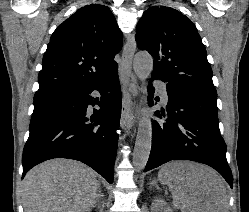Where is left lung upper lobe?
<instances>
[{"instance_id":"1","label":"left lung upper lobe","mask_w":249,"mask_h":212,"mask_svg":"<svg viewBox=\"0 0 249 212\" xmlns=\"http://www.w3.org/2000/svg\"><path fill=\"white\" fill-rule=\"evenodd\" d=\"M141 50L154 57L153 72L170 85L217 97L205 46L195 25L170 7L148 8L136 26Z\"/></svg>"}]
</instances>
